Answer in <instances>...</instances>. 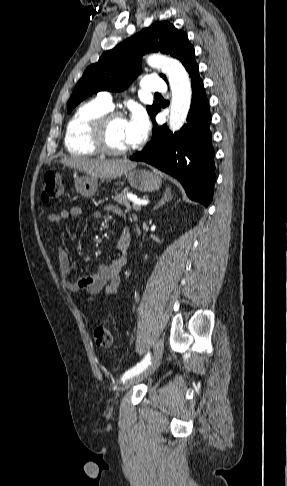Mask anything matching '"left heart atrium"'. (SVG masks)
<instances>
[{"label": "left heart atrium", "mask_w": 287, "mask_h": 486, "mask_svg": "<svg viewBox=\"0 0 287 486\" xmlns=\"http://www.w3.org/2000/svg\"><path fill=\"white\" fill-rule=\"evenodd\" d=\"M127 126L131 146L140 143L147 134L148 122L142 113H135L127 120Z\"/></svg>", "instance_id": "39dd6f15"}]
</instances>
